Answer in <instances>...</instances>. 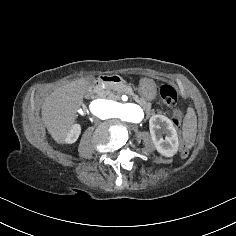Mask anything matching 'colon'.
Returning <instances> with one entry per match:
<instances>
[{"instance_id":"1","label":"colon","mask_w":236,"mask_h":236,"mask_svg":"<svg viewBox=\"0 0 236 236\" xmlns=\"http://www.w3.org/2000/svg\"><path fill=\"white\" fill-rule=\"evenodd\" d=\"M160 95L164 103L168 107L173 108L176 106L177 101H178V94H177L176 89L173 86L169 84L162 85L160 88ZM181 118H182L181 112L175 111L172 117V121L175 126L178 127L180 125Z\"/></svg>"}]
</instances>
